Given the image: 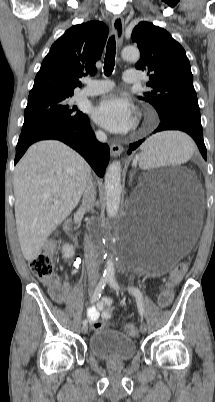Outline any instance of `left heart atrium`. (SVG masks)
Returning <instances> with one entry per match:
<instances>
[{
  "instance_id": "obj_1",
  "label": "left heart atrium",
  "mask_w": 215,
  "mask_h": 402,
  "mask_svg": "<svg viewBox=\"0 0 215 402\" xmlns=\"http://www.w3.org/2000/svg\"><path fill=\"white\" fill-rule=\"evenodd\" d=\"M92 117L96 123L114 133H125L136 122L131 102L114 94L100 100L92 111Z\"/></svg>"
}]
</instances>
